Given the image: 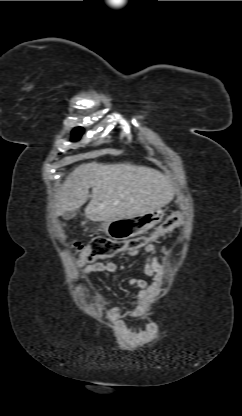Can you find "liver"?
Returning a JSON list of instances; mask_svg holds the SVG:
<instances>
[{"label": "liver", "mask_w": 242, "mask_h": 416, "mask_svg": "<svg viewBox=\"0 0 242 416\" xmlns=\"http://www.w3.org/2000/svg\"><path fill=\"white\" fill-rule=\"evenodd\" d=\"M85 216L94 222L111 221L151 212L169 204L176 192L168 175L129 162L86 163L76 167L63 182L56 198V215L78 210L86 203Z\"/></svg>", "instance_id": "obj_1"}]
</instances>
